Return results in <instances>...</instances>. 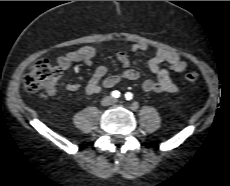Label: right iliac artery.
Wrapping results in <instances>:
<instances>
[{"label": "right iliac artery", "instance_id": "right-iliac-artery-1", "mask_svg": "<svg viewBox=\"0 0 230 186\" xmlns=\"http://www.w3.org/2000/svg\"><path fill=\"white\" fill-rule=\"evenodd\" d=\"M111 96H112L113 98H119V97H120V92L117 91V90L112 91Z\"/></svg>", "mask_w": 230, "mask_h": 186}]
</instances>
